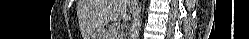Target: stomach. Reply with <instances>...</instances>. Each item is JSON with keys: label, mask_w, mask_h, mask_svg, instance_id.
I'll return each mask as SVG.
<instances>
[{"label": "stomach", "mask_w": 249, "mask_h": 39, "mask_svg": "<svg viewBox=\"0 0 249 39\" xmlns=\"http://www.w3.org/2000/svg\"><path fill=\"white\" fill-rule=\"evenodd\" d=\"M95 37H103V35H102V34L97 33V34L95 35Z\"/></svg>", "instance_id": "stomach-1"}]
</instances>
